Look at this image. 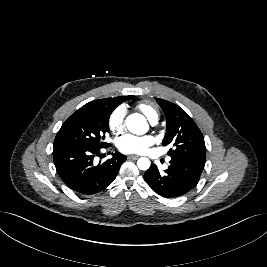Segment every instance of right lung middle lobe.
Masks as SVG:
<instances>
[{
	"label": "right lung middle lobe",
	"mask_w": 267,
	"mask_h": 267,
	"mask_svg": "<svg viewBox=\"0 0 267 267\" xmlns=\"http://www.w3.org/2000/svg\"><path fill=\"white\" fill-rule=\"evenodd\" d=\"M115 108L111 104L81 107L63 123L54 140V147L105 148L109 146L103 140L105 134L109 132V117Z\"/></svg>",
	"instance_id": "right-lung-middle-lobe-1"
}]
</instances>
